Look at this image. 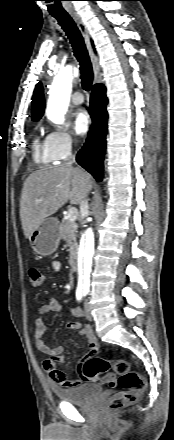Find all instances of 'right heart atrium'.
I'll return each instance as SVG.
<instances>
[{"instance_id":"right-heart-atrium-1","label":"right heart atrium","mask_w":174,"mask_h":440,"mask_svg":"<svg viewBox=\"0 0 174 440\" xmlns=\"http://www.w3.org/2000/svg\"><path fill=\"white\" fill-rule=\"evenodd\" d=\"M46 143L51 158L55 162L67 159L74 151L73 136L64 129H53L46 136Z\"/></svg>"}]
</instances>
